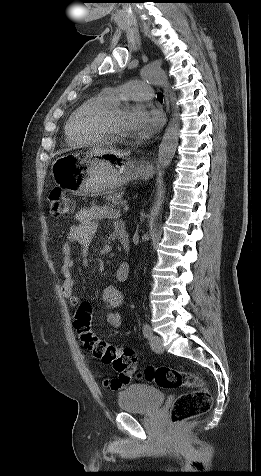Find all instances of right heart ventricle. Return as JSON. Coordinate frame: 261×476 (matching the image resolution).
<instances>
[{"instance_id": "obj_1", "label": "right heart ventricle", "mask_w": 261, "mask_h": 476, "mask_svg": "<svg viewBox=\"0 0 261 476\" xmlns=\"http://www.w3.org/2000/svg\"><path fill=\"white\" fill-rule=\"evenodd\" d=\"M115 101L116 100L108 92H101L89 97L77 106L71 112L65 124L67 142L74 147L104 143L105 140L103 138L88 130L85 125V117L93 108Z\"/></svg>"}]
</instances>
